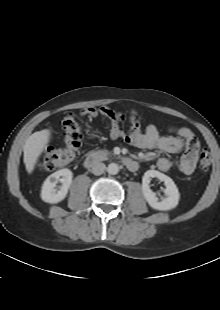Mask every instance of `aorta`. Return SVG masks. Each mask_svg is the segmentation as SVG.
<instances>
[{
    "label": "aorta",
    "instance_id": "aorta-1",
    "mask_svg": "<svg viewBox=\"0 0 220 310\" xmlns=\"http://www.w3.org/2000/svg\"><path fill=\"white\" fill-rule=\"evenodd\" d=\"M107 172L110 175H116L119 172V166L116 163H110L107 167Z\"/></svg>",
    "mask_w": 220,
    "mask_h": 310
}]
</instances>
